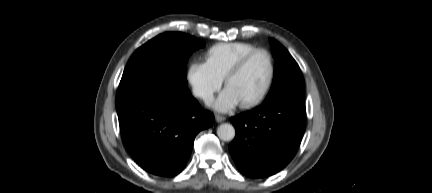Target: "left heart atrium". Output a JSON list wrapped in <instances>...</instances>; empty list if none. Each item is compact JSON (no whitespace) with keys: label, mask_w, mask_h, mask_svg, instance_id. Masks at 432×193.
Masks as SVG:
<instances>
[{"label":"left heart atrium","mask_w":432,"mask_h":193,"mask_svg":"<svg viewBox=\"0 0 432 193\" xmlns=\"http://www.w3.org/2000/svg\"><path fill=\"white\" fill-rule=\"evenodd\" d=\"M238 104L239 100L236 95L229 88H226L214 102V107L218 111L226 112L233 109Z\"/></svg>","instance_id":"obj_1"}]
</instances>
